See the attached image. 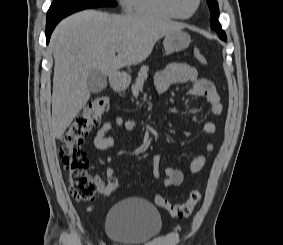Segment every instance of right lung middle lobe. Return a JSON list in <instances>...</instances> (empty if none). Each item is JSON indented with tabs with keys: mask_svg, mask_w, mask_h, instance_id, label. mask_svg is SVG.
<instances>
[{
	"mask_svg": "<svg viewBox=\"0 0 283 245\" xmlns=\"http://www.w3.org/2000/svg\"><path fill=\"white\" fill-rule=\"evenodd\" d=\"M116 5L115 0H54L47 12L46 21L62 19L74 12L87 8L114 7Z\"/></svg>",
	"mask_w": 283,
	"mask_h": 245,
	"instance_id": "obj_1",
	"label": "right lung middle lobe"
}]
</instances>
